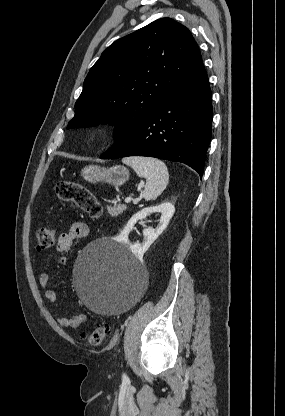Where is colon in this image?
<instances>
[{
  "instance_id": "obj_1",
  "label": "colon",
  "mask_w": 285,
  "mask_h": 416,
  "mask_svg": "<svg viewBox=\"0 0 285 416\" xmlns=\"http://www.w3.org/2000/svg\"><path fill=\"white\" fill-rule=\"evenodd\" d=\"M54 198L76 205L84 211L90 218L98 219L101 217L103 209L95 194L80 183L73 181H61L54 189ZM56 231L53 227H44L37 232L36 249L45 251L50 249L55 242ZM108 324L98 325L91 333L83 334L90 345L97 346L102 344L108 333Z\"/></svg>"
}]
</instances>
